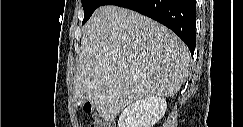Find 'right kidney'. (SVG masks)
I'll return each mask as SVG.
<instances>
[{"instance_id": "ca27d5eb", "label": "right kidney", "mask_w": 243, "mask_h": 127, "mask_svg": "<svg viewBox=\"0 0 243 127\" xmlns=\"http://www.w3.org/2000/svg\"><path fill=\"white\" fill-rule=\"evenodd\" d=\"M166 100L150 97L130 103L121 113L118 127H153L165 114Z\"/></svg>"}]
</instances>
